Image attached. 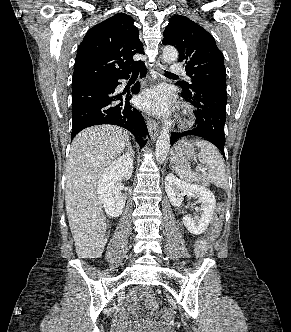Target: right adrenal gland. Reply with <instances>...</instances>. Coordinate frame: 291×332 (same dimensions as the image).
Masks as SVG:
<instances>
[{
  "instance_id": "1",
  "label": "right adrenal gland",
  "mask_w": 291,
  "mask_h": 332,
  "mask_svg": "<svg viewBox=\"0 0 291 332\" xmlns=\"http://www.w3.org/2000/svg\"><path fill=\"white\" fill-rule=\"evenodd\" d=\"M128 150L132 151V146H131V144L129 142H128ZM132 165H133V160H132Z\"/></svg>"
}]
</instances>
